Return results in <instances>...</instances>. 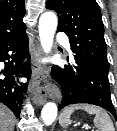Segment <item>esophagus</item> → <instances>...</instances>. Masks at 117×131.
Here are the masks:
<instances>
[{"label":"esophagus","mask_w":117,"mask_h":131,"mask_svg":"<svg viewBox=\"0 0 117 131\" xmlns=\"http://www.w3.org/2000/svg\"><path fill=\"white\" fill-rule=\"evenodd\" d=\"M42 57V50L40 47H36L33 58V79L36 83V89L34 93V102L41 105L46 101L48 95L55 96L58 93V89L48 82L49 72L47 68L40 63ZM42 83V85H40Z\"/></svg>","instance_id":"esophagus-1"}]
</instances>
